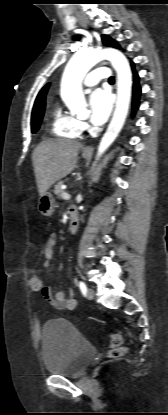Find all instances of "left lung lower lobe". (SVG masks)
<instances>
[{"instance_id": "left-lung-lower-lobe-1", "label": "left lung lower lobe", "mask_w": 168, "mask_h": 415, "mask_svg": "<svg viewBox=\"0 0 168 415\" xmlns=\"http://www.w3.org/2000/svg\"><path fill=\"white\" fill-rule=\"evenodd\" d=\"M131 66L133 69V97H132V106H133V113L137 110L139 106V98L141 94V88L139 85V76L138 73L134 69V63L131 62Z\"/></svg>"}]
</instances>
